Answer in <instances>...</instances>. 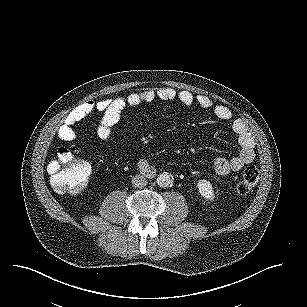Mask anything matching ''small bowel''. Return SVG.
<instances>
[{"label": "small bowel", "mask_w": 307, "mask_h": 307, "mask_svg": "<svg viewBox=\"0 0 307 307\" xmlns=\"http://www.w3.org/2000/svg\"><path fill=\"white\" fill-rule=\"evenodd\" d=\"M178 100L185 106L198 105L211 111L218 119L232 121V130L237 136L240 152L230 159L218 157L213 162V170L218 175H226L230 172L240 171L246 164L253 162L255 158V141L247 126L241 119H232L230 108L222 104H215L205 95L194 96L191 92L177 91L172 88H160L131 93L114 99L101 101H87L75 107L66 116L64 123L58 130V137L64 142H72L76 138L74 126L86 116L99 111L102 113L101 122L97 128V135L101 140H109L119 122L122 111L127 107H136L143 103L153 101Z\"/></svg>", "instance_id": "small-bowel-1"}]
</instances>
